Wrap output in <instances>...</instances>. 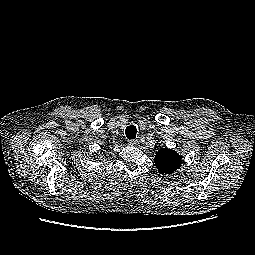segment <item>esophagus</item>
I'll return each instance as SVG.
<instances>
[{
    "label": "esophagus",
    "instance_id": "esophagus-1",
    "mask_svg": "<svg viewBox=\"0 0 255 255\" xmlns=\"http://www.w3.org/2000/svg\"><path fill=\"white\" fill-rule=\"evenodd\" d=\"M128 143L132 146L138 145L139 141L137 139L129 140Z\"/></svg>",
    "mask_w": 255,
    "mask_h": 255
}]
</instances>
